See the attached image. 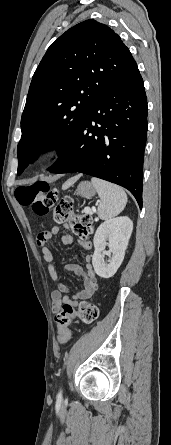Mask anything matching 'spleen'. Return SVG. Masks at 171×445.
Here are the masks:
<instances>
[{"label":"spleen","mask_w":171,"mask_h":445,"mask_svg":"<svg viewBox=\"0 0 171 445\" xmlns=\"http://www.w3.org/2000/svg\"><path fill=\"white\" fill-rule=\"evenodd\" d=\"M91 182L100 197L98 216L102 220H107L120 214L127 203L125 191L115 184L98 178H92Z\"/></svg>","instance_id":"3e777b00"}]
</instances>
